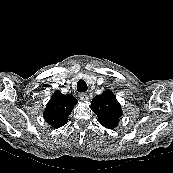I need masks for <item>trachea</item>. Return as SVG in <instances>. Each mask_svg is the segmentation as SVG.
<instances>
[{
    "label": "trachea",
    "mask_w": 173,
    "mask_h": 173,
    "mask_svg": "<svg viewBox=\"0 0 173 173\" xmlns=\"http://www.w3.org/2000/svg\"><path fill=\"white\" fill-rule=\"evenodd\" d=\"M77 90L78 92H85L87 91V84L84 80H79L77 82Z\"/></svg>",
    "instance_id": "3493384b"
}]
</instances>
